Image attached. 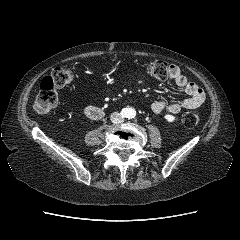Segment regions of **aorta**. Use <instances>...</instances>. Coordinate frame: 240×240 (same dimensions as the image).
<instances>
[{"mask_svg": "<svg viewBox=\"0 0 240 240\" xmlns=\"http://www.w3.org/2000/svg\"><path fill=\"white\" fill-rule=\"evenodd\" d=\"M125 112L128 117H134L136 114L135 109L132 107L126 108Z\"/></svg>", "mask_w": 240, "mask_h": 240, "instance_id": "obj_1", "label": "aorta"}]
</instances>
